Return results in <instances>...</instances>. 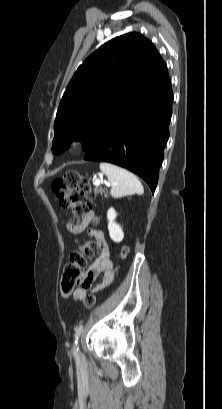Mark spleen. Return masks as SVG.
I'll list each match as a JSON object with an SVG mask.
<instances>
[{
  "label": "spleen",
  "instance_id": "obj_1",
  "mask_svg": "<svg viewBox=\"0 0 222 409\" xmlns=\"http://www.w3.org/2000/svg\"><path fill=\"white\" fill-rule=\"evenodd\" d=\"M100 170L106 174L108 181L113 184L110 194L114 198L144 193V188L138 178L131 172L111 163H100Z\"/></svg>",
  "mask_w": 222,
  "mask_h": 409
}]
</instances>
